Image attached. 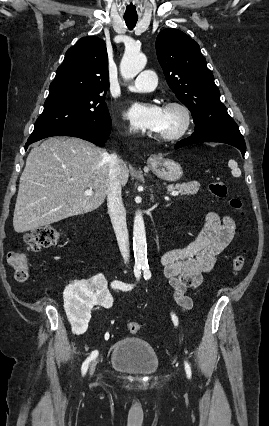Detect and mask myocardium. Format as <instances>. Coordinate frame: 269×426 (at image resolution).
Returning <instances> with one entry per match:
<instances>
[{"mask_svg":"<svg viewBox=\"0 0 269 426\" xmlns=\"http://www.w3.org/2000/svg\"><path fill=\"white\" fill-rule=\"evenodd\" d=\"M167 110H175L180 113L182 121L177 130L168 134H157V138L164 142H173L181 139L190 129L192 123L191 112L184 104L180 102H168L165 105Z\"/></svg>","mask_w":269,"mask_h":426,"instance_id":"myocardium-1","label":"myocardium"}]
</instances>
